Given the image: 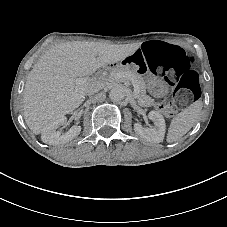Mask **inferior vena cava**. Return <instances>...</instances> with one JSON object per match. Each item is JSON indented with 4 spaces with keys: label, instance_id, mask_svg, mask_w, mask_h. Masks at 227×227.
<instances>
[{
    "label": "inferior vena cava",
    "instance_id": "1",
    "mask_svg": "<svg viewBox=\"0 0 227 227\" xmlns=\"http://www.w3.org/2000/svg\"><path fill=\"white\" fill-rule=\"evenodd\" d=\"M97 89H98L97 82H93V83H91L88 86V88L86 90L87 95L88 96H93L92 99H93V101H96V102L102 101L104 99V95H105V92L104 91H102L100 93H96L97 92Z\"/></svg>",
    "mask_w": 227,
    "mask_h": 227
}]
</instances>
